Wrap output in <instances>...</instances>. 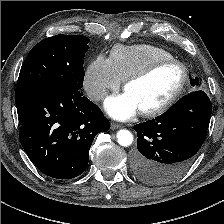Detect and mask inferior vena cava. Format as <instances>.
I'll list each match as a JSON object with an SVG mask.
<instances>
[{
    "instance_id": "obj_1",
    "label": "inferior vena cava",
    "mask_w": 224,
    "mask_h": 224,
    "mask_svg": "<svg viewBox=\"0 0 224 224\" xmlns=\"http://www.w3.org/2000/svg\"><path fill=\"white\" fill-rule=\"evenodd\" d=\"M87 94L92 101H100L106 96L107 92L104 89L96 88L89 90Z\"/></svg>"
}]
</instances>
